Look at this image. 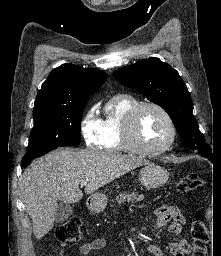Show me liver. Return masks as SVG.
<instances>
[{
    "mask_svg": "<svg viewBox=\"0 0 221 256\" xmlns=\"http://www.w3.org/2000/svg\"><path fill=\"white\" fill-rule=\"evenodd\" d=\"M150 161L114 151L58 148L34 160L20 178V194L33 222V233L41 239L53 227L58 201L76 203L83 197L79 188L87 181L91 194L125 173Z\"/></svg>",
    "mask_w": 221,
    "mask_h": 256,
    "instance_id": "liver-1",
    "label": "liver"
}]
</instances>
